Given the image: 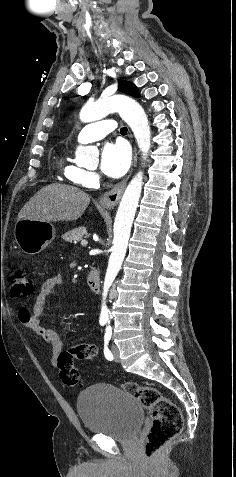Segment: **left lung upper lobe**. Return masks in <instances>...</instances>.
Masks as SVG:
<instances>
[{
    "label": "left lung upper lobe",
    "instance_id": "1",
    "mask_svg": "<svg viewBox=\"0 0 236 477\" xmlns=\"http://www.w3.org/2000/svg\"><path fill=\"white\" fill-rule=\"evenodd\" d=\"M118 90L129 95L140 97L137 87L131 82L120 80Z\"/></svg>",
    "mask_w": 236,
    "mask_h": 477
}]
</instances>
